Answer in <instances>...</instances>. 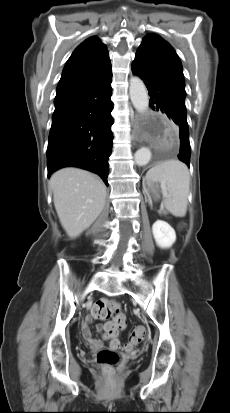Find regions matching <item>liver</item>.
<instances>
[{
    "mask_svg": "<svg viewBox=\"0 0 230 413\" xmlns=\"http://www.w3.org/2000/svg\"><path fill=\"white\" fill-rule=\"evenodd\" d=\"M49 184L60 223L71 238L87 229L104 208L106 186L88 171L63 168L51 176Z\"/></svg>",
    "mask_w": 230,
    "mask_h": 413,
    "instance_id": "1",
    "label": "liver"
}]
</instances>
